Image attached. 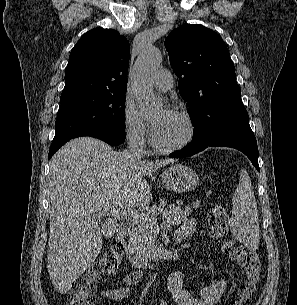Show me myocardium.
Masks as SVG:
<instances>
[{
  "instance_id": "1",
  "label": "myocardium",
  "mask_w": 297,
  "mask_h": 305,
  "mask_svg": "<svg viewBox=\"0 0 297 305\" xmlns=\"http://www.w3.org/2000/svg\"><path fill=\"white\" fill-rule=\"evenodd\" d=\"M172 113L180 116L184 122L186 123L187 126V133L185 135V137L177 142L176 144L173 145H169V146H162L160 145L154 138L153 136V131L151 132V136H150V143L151 146L160 153L163 154H169V153H173L176 151H179L183 148H185L187 145H189L192 140L195 137V133H196V126H195V122L193 120V117L190 115V113H188L186 110L180 109V108H173L171 110Z\"/></svg>"
}]
</instances>
